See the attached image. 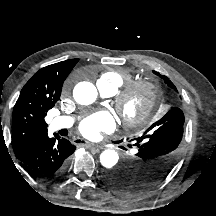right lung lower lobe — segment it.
I'll return each mask as SVG.
<instances>
[{"instance_id":"obj_1","label":"right lung lower lobe","mask_w":216,"mask_h":216,"mask_svg":"<svg viewBox=\"0 0 216 216\" xmlns=\"http://www.w3.org/2000/svg\"><path fill=\"white\" fill-rule=\"evenodd\" d=\"M76 147L67 139L47 135L35 142L18 159L22 167L31 175L39 178H51L63 169L66 159Z\"/></svg>"}]
</instances>
